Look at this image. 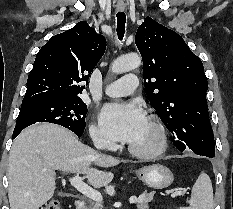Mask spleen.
<instances>
[{"label": "spleen", "instance_id": "spleen-1", "mask_svg": "<svg viewBox=\"0 0 233 209\" xmlns=\"http://www.w3.org/2000/svg\"><path fill=\"white\" fill-rule=\"evenodd\" d=\"M189 204L180 209H214L212 183L206 173L201 172L193 185Z\"/></svg>", "mask_w": 233, "mask_h": 209}]
</instances>
